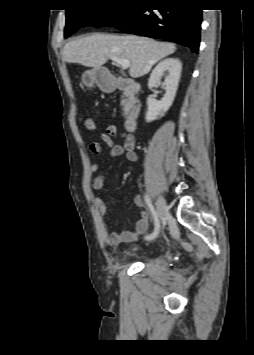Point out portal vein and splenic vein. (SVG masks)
I'll list each match as a JSON object with an SVG mask.
<instances>
[{
    "instance_id": "18ae733b",
    "label": "portal vein and splenic vein",
    "mask_w": 254,
    "mask_h": 355,
    "mask_svg": "<svg viewBox=\"0 0 254 355\" xmlns=\"http://www.w3.org/2000/svg\"><path fill=\"white\" fill-rule=\"evenodd\" d=\"M111 60L118 63L123 69H128L130 67V61L128 59L111 57Z\"/></svg>"
}]
</instances>
